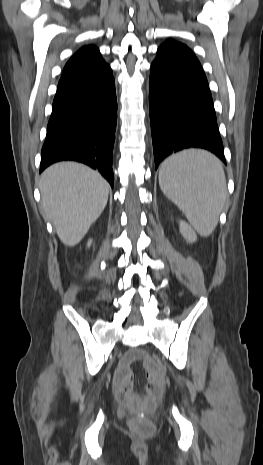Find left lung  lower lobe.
Masks as SVG:
<instances>
[{"instance_id": "obj_1", "label": "left lung lower lobe", "mask_w": 263, "mask_h": 465, "mask_svg": "<svg viewBox=\"0 0 263 465\" xmlns=\"http://www.w3.org/2000/svg\"><path fill=\"white\" fill-rule=\"evenodd\" d=\"M149 111L155 167L179 150L204 148L224 163L223 143L208 82L185 45L164 43L151 64Z\"/></svg>"}]
</instances>
